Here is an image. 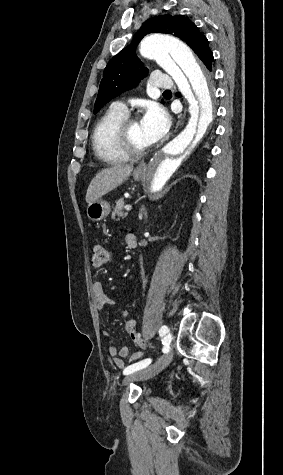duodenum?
Wrapping results in <instances>:
<instances>
[{"label": "duodenum", "instance_id": "410a0bca", "mask_svg": "<svg viewBox=\"0 0 283 475\" xmlns=\"http://www.w3.org/2000/svg\"><path fill=\"white\" fill-rule=\"evenodd\" d=\"M128 246L130 248H135L137 246V239L134 235L130 236L128 239Z\"/></svg>", "mask_w": 283, "mask_h": 475}]
</instances>
